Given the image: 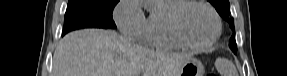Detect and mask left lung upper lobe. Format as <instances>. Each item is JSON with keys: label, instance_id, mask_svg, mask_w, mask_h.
Here are the masks:
<instances>
[{"label": "left lung upper lobe", "instance_id": "left-lung-upper-lobe-1", "mask_svg": "<svg viewBox=\"0 0 287 76\" xmlns=\"http://www.w3.org/2000/svg\"><path fill=\"white\" fill-rule=\"evenodd\" d=\"M217 10V12L224 18L230 25V28L235 32L234 19L230 17L229 0H208ZM231 50L236 53L237 45L235 35H232L229 43Z\"/></svg>", "mask_w": 287, "mask_h": 76}]
</instances>
